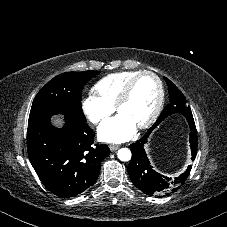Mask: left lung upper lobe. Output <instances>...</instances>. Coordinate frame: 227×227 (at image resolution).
<instances>
[{
  "instance_id": "1",
  "label": "left lung upper lobe",
  "mask_w": 227,
  "mask_h": 227,
  "mask_svg": "<svg viewBox=\"0 0 227 227\" xmlns=\"http://www.w3.org/2000/svg\"><path fill=\"white\" fill-rule=\"evenodd\" d=\"M164 79L168 86L170 103L164 108L155 124L148 130L147 134H150L157 125L172 114H182L186 119L193 117L190 107L186 104L187 101L183 93L169 79L166 77H164Z\"/></svg>"
}]
</instances>
